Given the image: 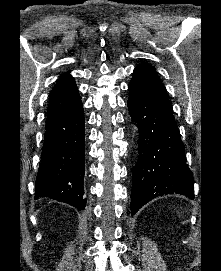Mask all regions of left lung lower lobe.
<instances>
[{
	"label": "left lung lower lobe",
	"instance_id": "1",
	"mask_svg": "<svg viewBox=\"0 0 221 271\" xmlns=\"http://www.w3.org/2000/svg\"><path fill=\"white\" fill-rule=\"evenodd\" d=\"M127 106L140 128L139 158L132 169L131 211L165 194L194 199V179L186 164L185 147L174 120L172 107L130 82Z\"/></svg>",
	"mask_w": 221,
	"mask_h": 271
}]
</instances>
